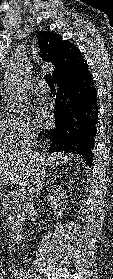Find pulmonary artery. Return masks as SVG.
I'll return each mask as SVG.
<instances>
[{
    "instance_id": "e3ab8cb5",
    "label": "pulmonary artery",
    "mask_w": 113,
    "mask_h": 279,
    "mask_svg": "<svg viewBox=\"0 0 113 279\" xmlns=\"http://www.w3.org/2000/svg\"><path fill=\"white\" fill-rule=\"evenodd\" d=\"M32 88L34 89V91L37 94L47 95V93H48V87H47L46 83L40 79H35L32 82Z\"/></svg>"
}]
</instances>
